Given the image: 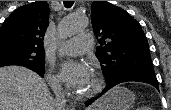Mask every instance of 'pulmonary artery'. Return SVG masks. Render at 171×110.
Listing matches in <instances>:
<instances>
[{
    "label": "pulmonary artery",
    "mask_w": 171,
    "mask_h": 110,
    "mask_svg": "<svg viewBox=\"0 0 171 110\" xmlns=\"http://www.w3.org/2000/svg\"><path fill=\"white\" fill-rule=\"evenodd\" d=\"M92 45V35L85 32L66 41L62 46V50L68 55H79L88 51Z\"/></svg>",
    "instance_id": "obj_1"
}]
</instances>
